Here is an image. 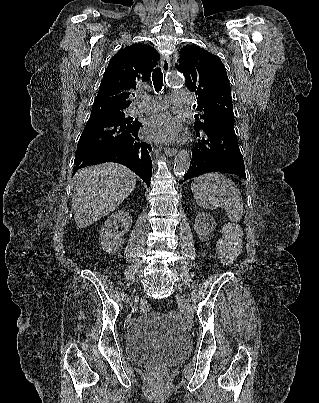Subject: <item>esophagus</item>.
<instances>
[{"instance_id": "obj_1", "label": "esophagus", "mask_w": 319, "mask_h": 403, "mask_svg": "<svg viewBox=\"0 0 319 403\" xmlns=\"http://www.w3.org/2000/svg\"><path fill=\"white\" fill-rule=\"evenodd\" d=\"M161 68L164 73L168 72L170 69V57L167 55L161 56ZM165 154L168 156H173L176 154L177 150L175 148L165 147Z\"/></svg>"}]
</instances>
